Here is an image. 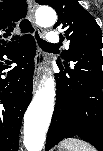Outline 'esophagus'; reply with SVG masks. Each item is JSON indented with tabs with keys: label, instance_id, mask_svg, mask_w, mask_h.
I'll list each match as a JSON object with an SVG mask.
<instances>
[{
	"label": "esophagus",
	"instance_id": "1",
	"mask_svg": "<svg viewBox=\"0 0 103 151\" xmlns=\"http://www.w3.org/2000/svg\"><path fill=\"white\" fill-rule=\"evenodd\" d=\"M35 10H36V3L34 0H29L28 2V19L30 20L33 27L36 28L35 24ZM40 35H43V31L38 29ZM35 70H34V77H33V90L35 91L38 86L39 78L42 73V67L44 64L43 52L38 47L36 56H35Z\"/></svg>",
	"mask_w": 103,
	"mask_h": 151
}]
</instances>
